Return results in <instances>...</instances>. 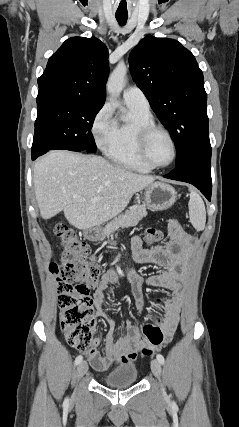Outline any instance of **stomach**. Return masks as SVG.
<instances>
[{
    "label": "stomach",
    "instance_id": "1",
    "mask_svg": "<svg viewBox=\"0 0 239 427\" xmlns=\"http://www.w3.org/2000/svg\"><path fill=\"white\" fill-rule=\"evenodd\" d=\"M177 200V192L169 184L154 182L148 185L144 193L145 205L154 211H163L170 208ZM85 239L89 241H99L105 236L104 228L95 226L85 229Z\"/></svg>",
    "mask_w": 239,
    "mask_h": 427
}]
</instances>
